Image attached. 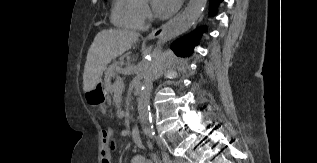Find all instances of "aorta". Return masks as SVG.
Wrapping results in <instances>:
<instances>
[{
	"label": "aorta",
	"mask_w": 317,
	"mask_h": 163,
	"mask_svg": "<svg viewBox=\"0 0 317 163\" xmlns=\"http://www.w3.org/2000/svg\"><path fill=\"white\" fill-rule=\"evenodd\" d=\"M207 0H190L184 12L174 18L168 26L161 32L157 47L149 54L145 62L142 75V87L138 98V113L141 124L145 128L151 125L150 114V96L153 87V81L156 78L158 61L160 56V47L168 41L180 36L189 30L201 16Z\"/></svg>",
	"instance_id": "obj_1"
}]
</instances>
